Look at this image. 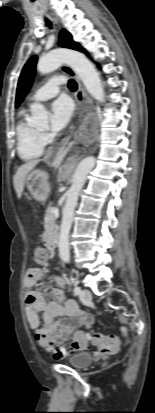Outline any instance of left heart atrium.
Returning <instances> with one entry per match:
<instances>
[{"label": "left heart atrium", "mask_w": 155, "mask_h": 413, "mask_svg": "<svg viewBox=\"0 0 155 413\" xmlns=\"http://www.w3.org/2000/svg\"><path fill=\"white\" fill-rule=\"evenodd\" d=\"M73 115V105L67 98H59L51 107L50 130L52 134L61 132L70 122Z\"/></svg>", "instance_id": "left-heart-atrium-1"}]
</instances>
